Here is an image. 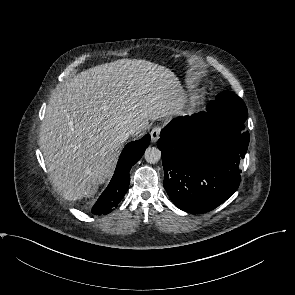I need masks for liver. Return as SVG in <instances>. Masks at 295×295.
<instances>
[{
	"label": "liver",
	"mask_w": 295,
	"mask_h": 295,
	"mask_svg": "<svg viewBox=\"0 0 295 295\" xmlns=\"http://www.w3.org/2000/svg\"><path fill=\"white\" fill-rule=\"evenodd\" d=\"M184 102L175 74L150 61L126 58L77 74L50 99L41 125L54 186L67 200L94 196L113 170L122 145L117 136L128 127L140 133Z\"/></svg>",
	"instance_id": "6515ba94"
}]
</instances>
